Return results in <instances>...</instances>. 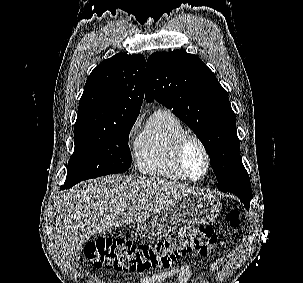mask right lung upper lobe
I'll return each mask as SVG.
<instances>
[{
  "label": "right lung upper lobe",
  "mask_w": 303,
  "mask_h": 283,
  "mask_svg": "<svg viewBox=\"0 0 303 283\" xmlns=\"http://www.w3.org/2000/svg\"><path fill=\"white\" fill-rule=\"evenodd\" d=\"M145 58L118 53L89 75L79 101L76 123L120 124L136 120L144 97Z\"/></svg>",
  "instance_id": "obj_1"
}]
</instances>
